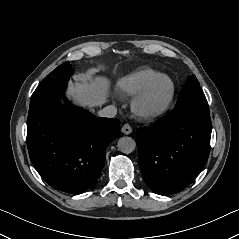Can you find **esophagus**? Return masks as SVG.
<instances>
[{
    "label": "esophagus",
    "mask_w": 239,
    "mask_h": 239,
    "mask_svg": "<svg viewBox=\"0 0 239 239\" xmlns=\"http://www.w3.org/2000/svg\"><path fill=\"white\" fill-rule=\"evenodd\" d=\"M121 130H122V133L126 135L132 133V127L129 124H124Z\"/></svg>",
    "instance_id": "obj_1"
}]
</instances>
